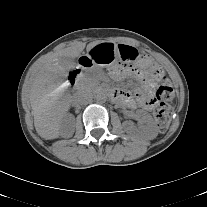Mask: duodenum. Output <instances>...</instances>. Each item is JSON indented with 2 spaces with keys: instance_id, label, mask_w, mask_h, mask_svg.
Returning <instances> with one entry per match:
<instances>
[{
  "instance_id": "duodenum-1",
  "label": "duodenum",
  "mask_w": 207,
  "mask_h": 207,
  "mask_svg": "<svg viewBox=\"0 0 207 207\" xmlns=\"http://www.w3.org/2000/svg\"><path fill=\"white\" fill-rule=\"evenodd\" d=\"M92 66V63L90 60H85L82 61L78 67H76L75 69H73L69 74H68V81L70 82V84L72 85L73 89L76 90L77 89V81L78 78L82 72L83 69L88 68ZM104 93L110 95L113 98H116V94L113 91L110 90H102Z\"/></svg>"
}]
</instances>
